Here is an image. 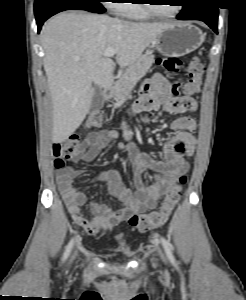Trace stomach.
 Returning a JSON list of instances; mask_svg holds the SVG:
<instances>
[{
    "mask_svg": "<svg viewBox=\"0 0 246 300\" xmlns=\"http://www.w3.org/2000/svg\"><path fill=\"white\" fill-rule=\"evenodd\" d=\"M205 40L202 31L188 22L167 27L155 39V48L164 56L180 57L198 49Z\"/></svg>",
    "mask_w": 246,
    "mask_h": 300,
    "instance_id": "1",
    "label": "stomach"
}]
</instances>
